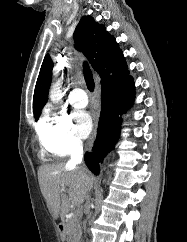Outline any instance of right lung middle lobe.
I'll use <instances>...</instances> for the list:
<instances>
[{"label":"right lung middle lobe","instance_id":"1","mask_svg":"<svg viewBox=\"0 0 187 242\" xmlns=\"http://www.w3.org/2000/svg\"><path fill=\"white\" fill-rule=\"evenodd\" d=\"M39 116L35 117V120H38Z\"/></svg>","mask_w":187,"mask_h":242}]
</instances>
